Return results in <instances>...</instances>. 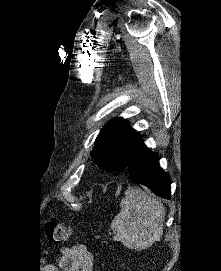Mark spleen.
<instances>
[{
	"instance_id": "3e777b00",
	"label": "spleen",
	"mask_w": 221,
	"mask_h": 271,
	"mask_svg": "<svg viewBox=\"0 0 221 271\" xmlns=\"http://www.w3.org/2000/svg\"><path fill=\"white\" fill-rule=\"evenodd\" d=\"M120 207L110 225L115 241L137 251L160 241L166 215L161 201H154L142 189H133L122 199Z\"/></svg>"
}]
</instances>
